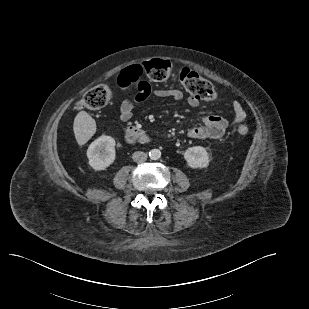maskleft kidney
<instances>
[{
	"instance_id": "obj_1",
	"label": "left kidney",
	"mask_w": 309,
	"mask_h": 309,
	"mask_svg": "<svg viewBox=\"0 0 309 309\" xmlns=\"http://www.w3.org/2000/svg\"><path fill=\"white\" fill-rule=\"evenodd\" d=\"M184 158L189 167L193 169L206 168L209 165V153L202 146L188 148L184 152Z\"/></svg>"
}]
</instances>
